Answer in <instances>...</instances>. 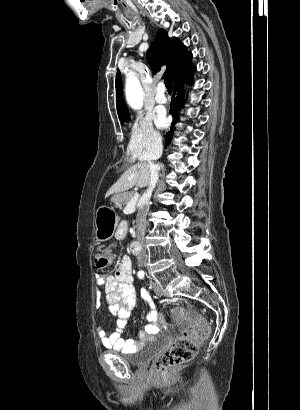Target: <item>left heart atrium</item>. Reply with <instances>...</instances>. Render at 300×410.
Here are the masks:
<instances>
[{"label":"left heart atrium","instance_id":"39dd6f15","mask_svg":"<svg viewBox=\"0 0 300 410\" xmlns=\"http://www.w3.org/2000/svg\"><path fill=\"white\" fill-rule=\"evenodd\" d=\"M166 123V116L163 112H161L157 117V124L160 127H163Z\"/></svg>","mask_w":300,"mask_h":410}]
</instances>
